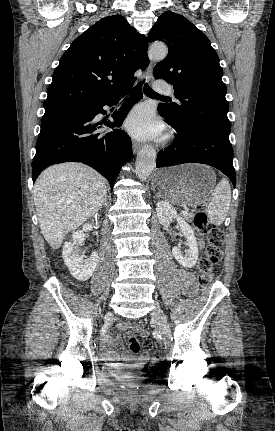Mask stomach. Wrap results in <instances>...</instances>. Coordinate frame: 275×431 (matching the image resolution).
<instances>
[{"label":"stomach","mask_w":275,"mask_h":431,"mask_svg":"<svg viewBox=\"0 0 275 431\" xmlns=\"http://www.w3.org/2000/svg\"><path fill=\"white\" fill-rule=\"evenodd\" d=\"M216 184L214 171L202 164H185L158 170L152 181L157 194L177 206L197 207Z\"/></svg>","instance_id":"1"}]
</instances>
